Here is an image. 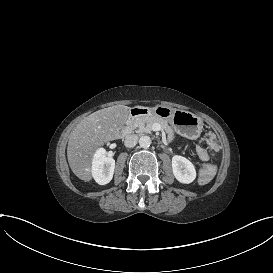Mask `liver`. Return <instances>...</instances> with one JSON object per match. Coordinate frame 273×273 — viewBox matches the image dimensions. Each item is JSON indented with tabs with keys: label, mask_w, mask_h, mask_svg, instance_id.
I'll return each instance as SVG.
<instances>
[{
	"label": "liver",
	"mask_w": 273,
	"mask_h": 273,
	"mask_svg": "<svg viewBox=\"0 0 273 273\" xmlns=\"http://www.w3.org/2000/svg\"><path fill=\"white\" fill-rule=\"evenodd\" d=\"M130 108L115 105L85 117L71 132L67 158L73 173L81 180L90 181L91 162L96 149L105 142L118 139L119 131L129 117Z\"/></svg>",
	"instance_id": "obj_1"
}]
</instances>
